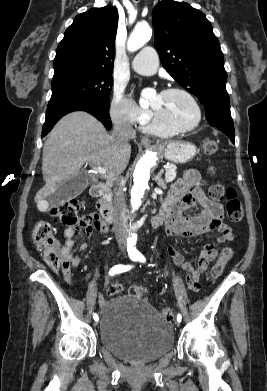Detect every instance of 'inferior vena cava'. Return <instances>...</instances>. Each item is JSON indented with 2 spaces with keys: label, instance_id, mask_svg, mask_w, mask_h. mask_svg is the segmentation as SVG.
Wrapping results in <instances>:
<instances>
[{
  "label": "inferior vena cava",
  "instance_id": "1",
  "mask_svg": "<svg viewBox=\"0 0 267 391\" xmlns=\"http://www.w3.org/2000/svg\"><path fill=\"white\" fill-rule=\"evenodd\" d=\"M112 137L117 144L128 146L129 140L136 136L132 125L125 119H114ZM114 226L113 230L119 247L123 250L126 246L127 237V212L123 185L118 177L114 179Z\"/></svg>",
  "mask_w": 267,
  "mask_h": 391
}]
</instances>
